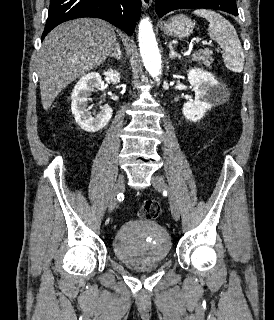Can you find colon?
<instances>
[{
  "label": "colon",
  "instance_id": "colon-1",
  "mask_svg": "<svg viewBox=\"0 0 274 320\" xmlns=\"http://www.w3.org/2000/svg\"><path fill=\"white\" fill-rule=\"evenodd\" d=\"M161 210L157 200L148 198L144 200L141 216L146 220H152L159 216Z\"/></svg>",
  "mask_w": 274,
  "mask_h": 320
}]
</instances>
